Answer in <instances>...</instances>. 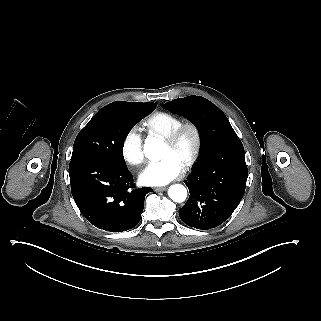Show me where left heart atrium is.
Instances as JSON below:
<instances>
[{"instance_id": "obj_1", "label": "left heart atrium", "mask_w": 321, "mask_h": 321, "mask_svg": "<svg viewBox=\"0 0 321 321\" xmlns=\"http://www.w3.org/2000/svg\"><path fill=\"white\" fill-rule=\"evenodd\" d=\"M184 173V166L179 159L170 154L163 159L147 164L139 175V180L147 186H163L179 178Z\"/></svg>"}]
</instances>
